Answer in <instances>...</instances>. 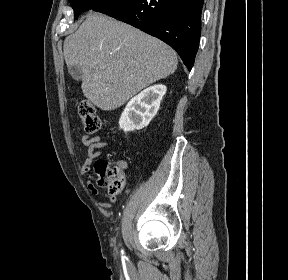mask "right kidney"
Here are the masks:
<instances>
[{"label":"right kidney","instance_id":"right-kidney-1","mask_svg":"<svg viewBox=\"0 0 288 280\" xmlns=\"http://www.w3.org/2000/svg\"><path fill=\"white\" fill-rule=\"evenodd\" d=\"M166 90L165 85H154L133 97L120 117V129L128 132L146 127L156 115Z\"/></svg>","mask_w":288,"mask_h":280}]
</instances>
